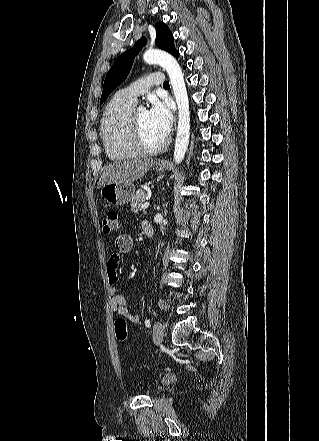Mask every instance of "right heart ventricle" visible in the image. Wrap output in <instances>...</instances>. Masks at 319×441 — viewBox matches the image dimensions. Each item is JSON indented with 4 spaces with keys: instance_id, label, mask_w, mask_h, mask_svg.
Masks as SVG:
<instances>
[{
    "instance_id": "right-heart-ventricle-1",
    "label": "right heart ventricle",
    "mask_w": 319,
    "mask_h": 441,
    "mask_svg": "<svg viewBox=\"0 0 319 441\" xmlns=\"http://www.w3.org/2000/svg\"><path fill=\"white\" fill-rule=\"evenodd\" d=\"M134 108L135 103L120 94L115 95L105 108L100 135L110 159L122 160L139 155L130 138V117Z\"/></svg>"
}]
</instances>
